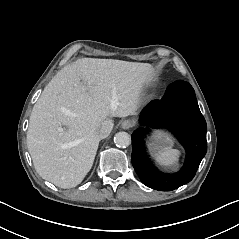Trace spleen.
<instances>
[{
	"instance_id": "spleen-1",
	"label": "spleen",
	"mask_w": 239,
	"mask_h": 239,
	"mask_svg": "<svg viewBox=\"0 0 239 239\" xmlns=\"http://www.w3.org/2000/svg\"><path fill=\"white\" fill-rule=\"evenodd\" d=\"M180 151L177 149H166L156 156V161L163 166H174L178 164Z\"/></svg>"
}]
</instances>
